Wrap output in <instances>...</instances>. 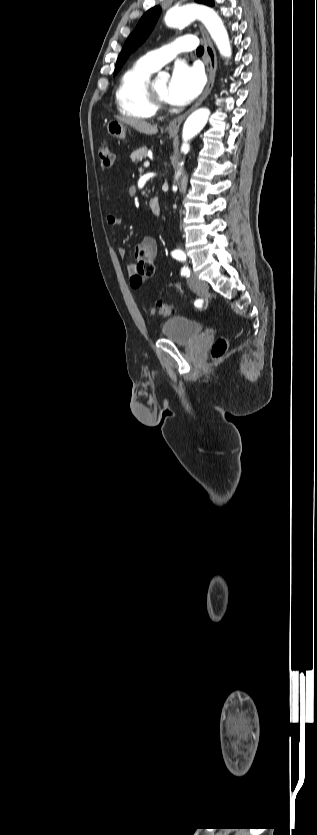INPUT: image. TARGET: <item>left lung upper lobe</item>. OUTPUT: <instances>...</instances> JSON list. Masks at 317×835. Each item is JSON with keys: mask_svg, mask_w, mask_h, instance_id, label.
Listing matches in <instances>:
<instances>
[{"mask_svg": "<svg viewBox=\"0 0 317 835\" xmlns=\"http://www.w3.org/2000/svg\"><path fill=\"white\" fill-rule=\"evenodd\" d=\"M197 3L206 4L208 6H213V0H195ZM161 8L159 6H155L148 10L139 20L136 28L134 31L129 35L127 38L121 53L117 59L114 75L118 73V71L122 68L124 62L127 60L129 55L134 52L138 46H140L146 38L150 35L151 31L153 30L158 17L160 15Z\"/></svg>", "mask_w": 317, "mask_h": 835, "instance_id": "left-lung-upper-lobe-1", "label": "left lung upper lobe"}]
</instances>
